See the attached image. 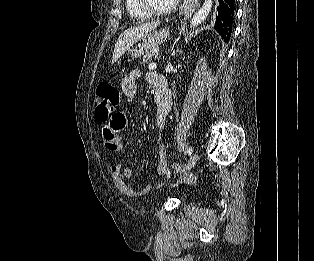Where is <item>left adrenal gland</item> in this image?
Listing matches in <instances>:
<instances>
[{"label":"left adrenal gland","mask_w":314,"mask_h":261,"mask_svg":"<svg viewBox=\"0 0 314 261\" xmlns=\"http://www.w3.org/2000/svg\"><path fill=\"white\" fill-rule=\"evenodd\" d=\"M172 56H175V51L172 52Z\"/></svg>","instance_id":"1"}]
</instances>
